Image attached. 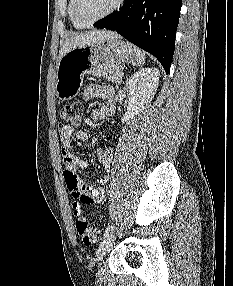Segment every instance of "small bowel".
<instances>
[{"mask_svg":"<svg viewBox=\"0 0 233 286\" xmlns=\"http://www.w3.org/2000/svg\"><path fill=\"white\" fill-rule=\"evenodd\" d=\"M83 98L90 100L92 98H102L105 103L102 107L92 111L93 121H102L115 113L114 91L110 86L97 83L90 84L83 92ZM58 134L61 141V154L64 163V179L66 186L72 195L80 204H93L100 202L105 196L103 186L109 180V173L113 153L110 147H102L98 151V159L102 168V175L98 179V186H92L84 182L78 175V169H84L88 166L87 160L75 155L72 151L73 139L80 141L88 140V133L82 130H74L73 127L65 124H59Z\"/></svg>","mask_w":233,"mask_h":286,"instance_id":"small-bowel-1","label":"small bowel"}]
</instances>
